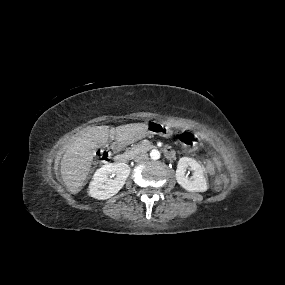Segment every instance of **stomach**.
I'll return each mask as SVG.
<instances>
[{"label":"stomach","mask_w":285,"mask_h":285,"mask_svg":"<svg viewBox=\"0 0 285 285\" xmlns=\"http://www.w3.org/2000/svg\"><path fill=\"white\" fill-rule=\"evenodd\" d=\"M171 133V130L168 126H165L163 124H160V123H149L147 124V131L145 132V135H148V134H159L161 136H167ZM141 136V137H143ZM139 137V138H141Z\"/></svg>","instance_id":"stomach-1"}]
</instances>
